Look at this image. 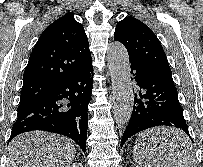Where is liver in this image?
Listing matches in <instances>:
<instances>
[{"label":"liver","mask_w":203,"mask_h":167,"mask_svg":"<svg viewBox=\"0 0 203 167\" xmlns=\"http://www.w3.org/2000/svg\"><path fill=\"white\" fill-rule=\"evenodd\" d=\"M183 132L156 127L140 134L146 147L166 167H186L184 155L174 146ZM151 151V150H150ZM74 143L66 137L44 131H31L15 137L8 146L6 167H69L74 160Z\"/></svg>","instance_id":"obj_1"}]
</instances>
